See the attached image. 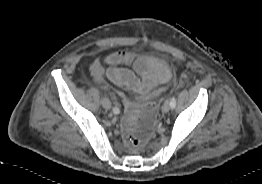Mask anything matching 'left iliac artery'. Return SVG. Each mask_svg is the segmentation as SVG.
I'll return each mask as SVG.
<instances>
[{"label":"left iliac artery","instance_id":"44dca946","mask_svg":"<svg viewBox=\"0 0 262 184\" xmlns=\"http://www.w3.org/2000/svg\"><path fill=\"white\" fill-rule=\"evenodd\" d=\"M176 106V98L173 96L170 100V107L171 109H174Z\"/></svg>","mask_w":262,"mask_h":184}]
</instances>
